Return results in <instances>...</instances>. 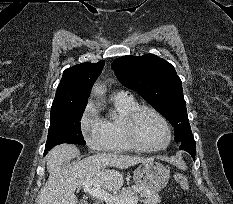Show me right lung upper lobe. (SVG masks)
Masks as SVG:
<instances>
[{
	"label": "right lung upper lobe",
	"mask_w": 233,
	"mask_h": 204,
	"mask_svg": "<svg viewBox=\"0 0 233 204\" xmlns=\"http://www.w3.org/2000/svg\"><path fill=\"white\" fill-rule=\"evenodd\" d=\"M104 61L81 63L63 72L52 106L87 103L91 88L102 72Z\"/></svg>",
	"instance_id": "right-lung-upper-lobe-1"
}]
</instances>
